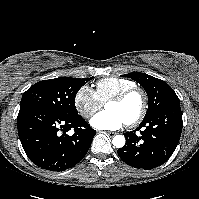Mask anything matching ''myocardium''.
Segmentation results:
<instances>
[{
  "label": "myocardium",
  "mask_w": 199,
  "mask_h": 199,
  "mask_svg": "<svg viewBox=\"0 0 199 199\" xmlns=\"http://www.w3.org/2000/svg\"><path fill=\"white\" fill-rule=\"evenodd\" d=\"M133 94H139L141 97V109L136 117H134L132 120L127 122V125L130 127L136 126L139 124L143 118L145 117L147 110H148V96L144 89L140 87H131L129 89H126L122 91L121 93L117 94L116 96L112 97L109 102H115V103H121L124 102L128 97H130Z\"/></svg>",
  "instance_id": "f54148a6"
}]
</instances>
